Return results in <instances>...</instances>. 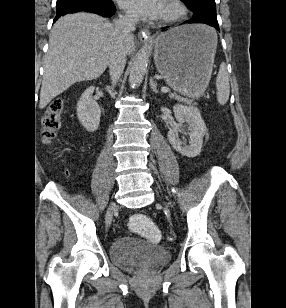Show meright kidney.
Returning <instances> with one entry per match:
<instances>
[{
  "label": "right kidney",
  "instance_id": "right-kidney-1",
  "mask_svg": "<svg viewBox=\"0 0 286 308\" xmlns=\"http://www.w3.org/2000/svg\"><path fill=\"white\" fill-rule=\"evenodd\" d=\"M95 87L87 88L77 103V117L82 126L89 132H94L100 124L101 110L96 101L92 99Z\"/></svg>",
  "mask_w": 286,
  "mask_h": 308
}]
</instances>
